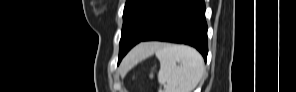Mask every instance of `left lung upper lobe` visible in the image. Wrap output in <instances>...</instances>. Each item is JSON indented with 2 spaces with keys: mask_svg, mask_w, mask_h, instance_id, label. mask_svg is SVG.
Listing matches in <instances>:
<instances>
[{
  "mask_svg": "<svg viewBox=\"0 0 296 92\" xmlns=\"http://www.w3.org/2000/svg\"><path fill=\"white\" fill-rule=\"evenodd\" d=\"M170 0H126L119 46V61L124 53L141 42L155 27Z\"/></svg>",
  "mask_w": 296,
  "mask_h": 92,
  "instance_id": "5c2ea615",
  "label": "left lung upper lobe"
}]
</instances>
